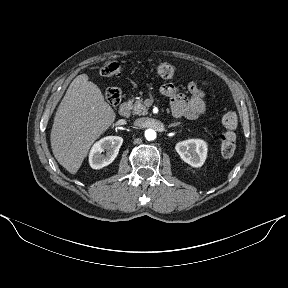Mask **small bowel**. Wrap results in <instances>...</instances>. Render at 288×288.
<instances>
[{"mask_svg": "<svg viewBox=\"0 0 288 288\" xmlns=\"http://www.w3.org/2000/svg\"><path fill=\"white\" fill-rule=\"evenodd\" d=\"M188 88L190 96L179 93L176 86L171 83L163 84L160 87L161 94L170 99L172 113L175 117L195 119L206 109L205 93L197 83L191 82Z\"/></svg>", "mask_w": 288, "mask_h": 288, "instance_id": "1", "label": "small bowel"}]
</instances>
